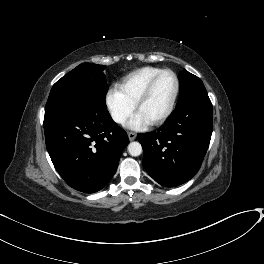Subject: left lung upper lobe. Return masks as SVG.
Segmentation results:
<instances>
[{"mask_svg":"<svg viewBox=\"0 0 264 264\" xmlns=\"http://www.w3.org/2000/svg\"><path fill=\"white\" fill-rule=\"evenodd\" d=\"M179 82L180 95L177 105L192 96L207 94V91L200 78L191 74L185 69L179 74Z\"/></svg>","mask_w":264,"mask_h":264,"instance_id":"5c2ea615","label":"left lung upper lobe"}]
</instances>
